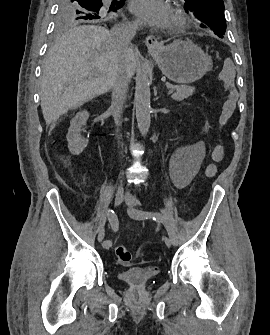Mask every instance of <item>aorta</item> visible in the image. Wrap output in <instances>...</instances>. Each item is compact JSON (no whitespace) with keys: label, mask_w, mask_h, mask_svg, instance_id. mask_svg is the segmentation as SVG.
Returning <instances> with one entry per match:
<instances>
[{"label":"aorta","mask_w":270,"mask_h":335,"mask_svg":"<svg viewBox=\"0 0 270 335\" xmlns=\"http://www.w3.org/2000/svg\"><path fill=\"white\" fill-rule=\"evenodd\" d=\"M150 86L151 82L148 72H145V70L140 72L136 80L135 106L137 124L141 134H147L151 124Z\"/></svg>","instance_id":"obj_1"}]
</instances>
